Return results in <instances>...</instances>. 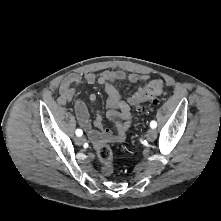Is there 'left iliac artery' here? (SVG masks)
<instances>
[{"mask_svg":"<svg viewBox=\"0 0 221 221\" xmlns=\"http://www.w3.org/2000/svg\"><path fill=\"white\" fill-rule=\"evenodd\" d=\"M150 127L152 128V129H154V128H156L157 127V122L156 121H151L150 122Z\"/></svg>","mask_w":221,"mask_h":221,"instance_id":"44dca946","label":"left iliac artery"}]
</instances>
